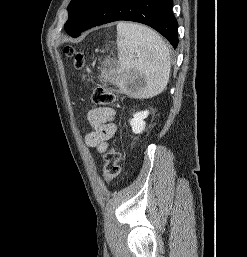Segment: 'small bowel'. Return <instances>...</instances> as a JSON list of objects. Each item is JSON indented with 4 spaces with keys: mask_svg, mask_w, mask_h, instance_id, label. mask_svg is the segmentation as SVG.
Returning <instances> with one entry per match:
<instances>
[{
    "mask_svg": "<svg viewBox=\"0 0 247 257\" xmlns=\"http://www.w3.org/2000/svg\"><path fill=\"white\" fill-rule=\"evenodd\" d=\"M87 117L92 130L86 135V145L102 153L116 131V111L110 107H93Z\"/></svg>",
    "mask_w": 247,
    "mask_h": 257,
    "instance_id": "obj_1",
    "label": "small bowel"
}]
</instances>
